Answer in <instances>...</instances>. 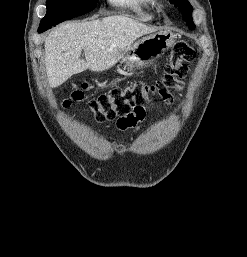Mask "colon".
Segmentation results:
<instances>
[{
	"label": "colon",
	"instance_id": "5ec220e1",
	"mask_svg": "<svg viewBox=\"0 0 247 257\" xmlns=\"http://www.w3.org/2000/svg\"><path fill=\"white\" fill-rule=\"evenodd\" d=\"M196 49L187 43L176 44L165 64L163 77L154 82L146 83L137 81L126 86L116 87L108 93L102 94L89 103V108L98 122L116 120L118 124H127L134 111L144 109L153 101L155 96L163 100L171 97L174 91L183 88V78L187 72V62H191L196 56ZM87 86L75 89L65 105L71 101H79L84 97Z\"/></svg>",
	"mask_w": 247,
	"mask_h": 257
}]
</instances>
